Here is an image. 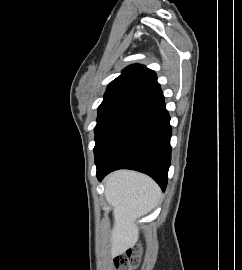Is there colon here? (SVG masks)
I'll use <instances>...</instances> for the list:
<instances>
[{
	"instance_id": "1",
	"label": "colon",
	"mask_w": 242,
	"mask_h": 270,
	"mask_svg": "<svg viewBox=\"0 0 242 270\" xmlns=\"http://www.w3.org/2000/svg\"><path fill=\"white\" fill-rule=\"evenodd\" d=\"M138 261L139 258L136 252L129 250L126 257H117L114 263L121 270H133L137 266Z\"/></svg>"
}]
</instances>
